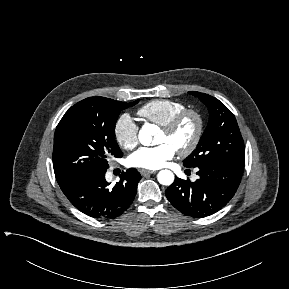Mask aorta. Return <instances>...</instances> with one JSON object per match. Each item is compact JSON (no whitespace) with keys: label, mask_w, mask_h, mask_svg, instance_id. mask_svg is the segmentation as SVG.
Listing matches in <instances>:
<instances>
[{"label":"aorta","mask_w":289,"mask_h":289,"mask_svg":"<svg viewBox=\"0 0 289 289\" xmlns=\"http://www.w3.org/2000/svg\"><path fill=\"white\" fill-rule=\"evenodd\" d=\"M154 125L145 124L139 131V141L144 146H149L152 143V135L154 134ZM157 180L160 184L169 186L174 182V174L170 170H161L157 174Z\"/></svg>","instance_id":"762f6f07"}]
</instances>
